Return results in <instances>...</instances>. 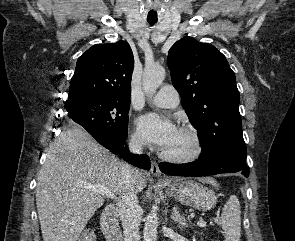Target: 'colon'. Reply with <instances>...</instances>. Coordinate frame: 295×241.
Wrapping results in <instances>:
<instances>
[{"label":"colon","instance_id":"colon-1","mask_svg":"<svg viewBox=\"0 0 295 241\" xmlns=\"http://www.w3.org/2000/svg\"><path fill=\"white\" fill-rule=\"evenodd\" d=\"M79 241H93V235L89 231H85Z\"/></svg>","mask_w":295,"mask_h":241}]
</instances>
